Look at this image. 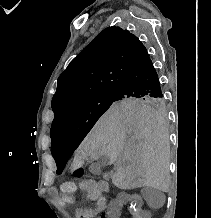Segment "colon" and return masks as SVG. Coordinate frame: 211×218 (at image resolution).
<instances>
[{"label": "colon", "mask_w": 211, "mask_h": 218, "mask_svg": "<svg viewBox=\"0 0 211 218\" xmlns=\"http://www.w3.org/2000/svg\"><path fill=\"white\" fill-rule=\"evenodd\" d=\"M82 173V169H78L76 170L75 175L81 176ZM77 191L78 188L74 181L65 182L60 186V199L66 204L73 203L76 198Z\"/></svg>", "instance_id": "obj_1"}]
</instances>
